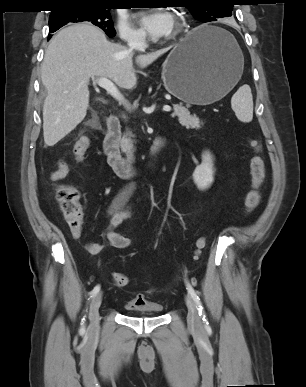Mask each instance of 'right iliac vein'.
<instances>
[{"label":"right iliac vein","instance_id":"right-iliac-vein-1","mask_svg":"<svg viewBox=\"0 0 306 387\" xmlns=\"http://www.w3.org/2000/svg\"><path fill=\"white\" fill-rule=\"evenodd\" d=\"M102 302V293L96 295V297L92 300L89 308V331L91 334H96L99 330V308Z\"/></svg>","mask_w":306,"mask_h":387}]
</instances>
